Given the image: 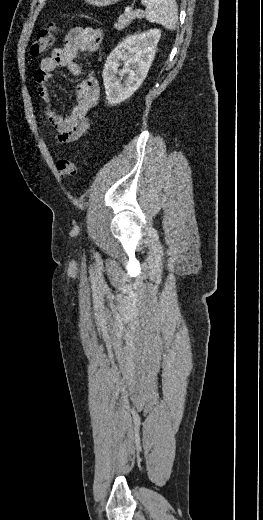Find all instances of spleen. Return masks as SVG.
<instances>
[{"instance_id":"obj_1","label":"spleen","mask_w":263,"mask_h":520,"mask_svg":"<svg viewBox=\"0 0 263 520\" xmlns=\"http://www.w3.org/2000/svg\"><path fill=\"white\" fill-rule=\"evenodd\" d=\"M146 6L145 16L149 22L161 24L174 30L178 21V8L175 0H141Z\"/></svg>"}]
</instances>
